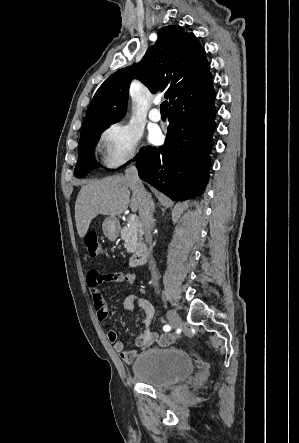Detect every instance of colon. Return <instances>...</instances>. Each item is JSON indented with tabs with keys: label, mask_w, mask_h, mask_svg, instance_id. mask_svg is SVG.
<instances>
[{
	"label": "colon",
	"mask_w": 299,
	"mask_h": 443,
	"mask_svg": "<svg viewBox=\"0 0 299 443\" xmlns=\"http://www.w3.org/2000/svg\"><path fill=\"white\" fill-rule=\"evenodd\" d=\"M84 244L89 256L97 257L102 253V248L95 232H87L84 236Z\"/></svg>",
	"instance_id": "1"
}]
</instances>
